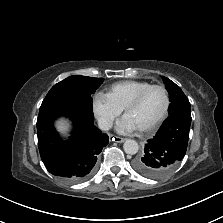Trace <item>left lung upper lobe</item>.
Masks as SVG:
<instances>
[{
    "mask_svg": "<svg viewBox=\"0 0 223 223\" xmlns=\"http://www.w3.org/2000/svg\"><path fill=\"white\" fill-rule=\"evenodd\" d=\"M162 78L165 87L169 93V98L171 102L169 107V115L174 113H182L187 116H191L189 100L187 99L183 91L180 89V87L167 77L163 76Z\"/></svg>",
    "mask_w": 223,
    "mask_h": 223,
    "instance_id": "obj_1",
    "label": "left lung upper lobe"
}]
</instances>
